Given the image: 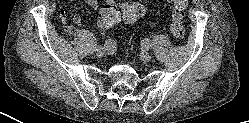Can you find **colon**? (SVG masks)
<instances>
[{"instance_id":"5ec220e1","label":"colon","mask_w":249,"mask_h":123,"mask_svg":"<svg viewBox=\"0 0 249 123\" xmlns=\"http://www.w3.org/2000/svg\"><path fill=\"white\" fill-rule=\"evenodd\" d=\"M187 2L188 0H171L173 9L170 31L179 41L185 38L182 21L185 16ZM144 13L145 7L139 2L106 4L99 13V25L103 28H109L118 23L121 18L128 23H133L142 17Z\"/></svg>"}]
</instances>
